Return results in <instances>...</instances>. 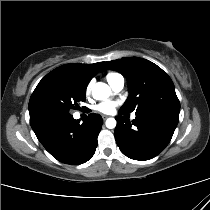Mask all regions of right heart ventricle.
<instances>
[{"label": "right heart ventricle", "mask_w": 210, "mask_h": 210, "mask_svg": "<svg viewBox=\"0 0 210 210\" xmlns=\"http://www.w3.org/2000/svg\"><path fill=\"white\" fill-rule=\"evenodd\" d=\"M117 76H119V74H117V73H108L107 76H106V79L109 83H111L112 80L114 78H116Z\"/></svg>", "instance_id": "e07e8e85"}]
</instances>
